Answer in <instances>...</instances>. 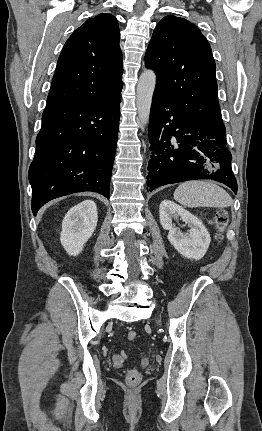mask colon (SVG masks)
<instances>
[{
  "label": "colon",
  "instance_id": "colon-1",
  "mask_svg": "<svg viewBox=\"0 0 262 431\" xmlns=\"http://www.w3.org/2000/svg\"><path fill=\"white\" fill-rule=\"evenodd\" d=\"M228 224V214L225 210H218L215 215V225L219 231L218 238L221 237V232L226 228ZM127 337L129 340H134L138 337V333L134 330L128 332ZM126 380L131 385H136L141 380V374L136 369H130L127 371Z\"/></svg>",
  "mask_w": 262,
  "mask_h": 431
}]
</instances>
